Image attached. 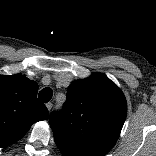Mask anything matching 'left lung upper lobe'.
Listing matches in <instances>:
<instances>
[{
  "mask_svg": "<svg viewBox=\"0 0 156 156\" xmlns=\"http://www.w3.org/2000/svg\"><path fill=\"white\" fill-rule=\"evenodd\" d=\"M126 114L121 90L95 73L70 84L63 111L53 112L49 122L54 139L90 156H103L116 143Z\"/></svg>",
  "mask_w": 156,
  "mask_h": 156,
  "instance_id": "obj_1",
  "label": "left lung upper lobe"
}]
</instances>
